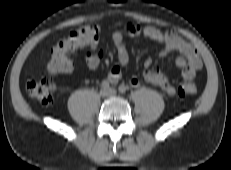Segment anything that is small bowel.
<instances>
[{
    "label": "small bowel",
    "instance_id": "c3829d8e",
    "mask_svg": "<svg viewBox=\"0 0 231 170\" xmlns=\"http://www.w3.org/2000/svg\"><path fill=\"white\" fill-rule=\"evenodd\" d=\"M140 36L161 43L163 48L160 54L163 56L173 51H178L181 56L177 58L175 65L181 70L185 80L193 79L202 68V61L197 49L177 33L172 31L164 32L155 27H142L138 24L128 22L123 25L121 30L115 31L112 34V42L117 54V63L111 67L108 73V80L111 83H117L120 80L121 67L125 66L129 61L125 38ZM89 47L90 51L86 55V63L90 68L95 69L99 66L103 55L102 52L98 50V40L91 42ZM150 65L151 61L147 60L143 72L144 79L148 83L159 87L165 93L173 95L175 93V87L160 70L151 68ZM130 84L133 87H137L139 81L133 77L130 79Z\"/></svg>",
    "mask_w": 231,
    "mask_h": 170
}]
</instances>
